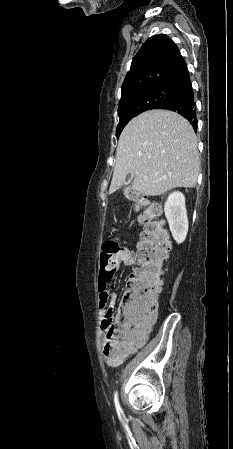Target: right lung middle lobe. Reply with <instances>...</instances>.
<instances>
[{"label": "right lung middle lobe", "mask_w": 233, "mask_h": 449, "mask_svg": "<svg viewBox=\"0 0 233 449\" xmlns=\"http://www.w3.org/2000/svg\"><path fill=\"white\" fill-rule=\"evenodd\" d=\"M180 96L181 90L171 86H153L122 96L118 107L119 124L116 137H119L123 128L133 117L144 111L157 109Z\"/></svg>", "instance_id": "dd1d6c3e"}]
</instances>
